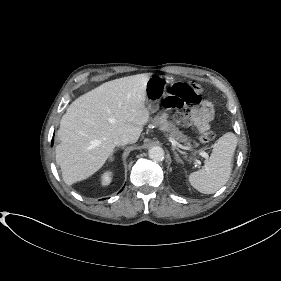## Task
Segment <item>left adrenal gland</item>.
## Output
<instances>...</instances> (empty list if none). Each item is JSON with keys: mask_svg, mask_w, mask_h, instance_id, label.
<instances>
[{"mask_svg": "<svg viewBox=\"0 0 281 281\" xmlns=\"http://www.w3.org/2000/svg\"><path fill=\"white\" fill-rule=\"evenodd\" d=\"M174 155H175V160L178 162V163H183V161L180 159V157L178 156V154L174 151Z\"/></svg>", "mask_w": 281, "mask_h": 281, "instance_id": "obj_1", "label": "left adrenal gland"}]
</instances>
